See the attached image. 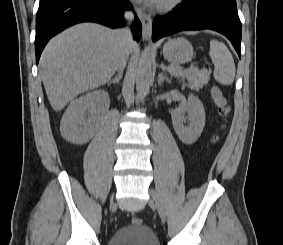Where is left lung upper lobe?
Here are the masks:
<instances>
[{
    "mask_svg": "<svg viewBox=\"0 0 283 245\" xmlns=\"http://www.w3.org/2000/svg\"><path fill=\"white\" fill-rule=\"evenodd\" d=\"M187 3L191 4H203V3H218L225 4L232 7L236 6V0H185Z\"/></svg>",
    "mask_w": 283,
    "mask_h": 245,
    "instance_id": "1",
    "label": "left lung upper lobe"
}]
</instances>
